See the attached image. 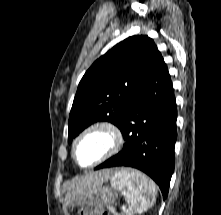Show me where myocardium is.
<instances>
[{
    "label": "myocardium",
    "instance_id": "f54148a6",
    "mask_svg": "<svg viewBox=\"0 0 221 215\" xmlns=\"http://www.w3.org/2000/svg\"><path fill=\"white\" fill-rule=\"evenodd\" d=\"M99 134L106 140V146L103 152L89 164H81L77 159V148L79 144L87 137ZM123 135L120 128L109 121H98L83 129L74 139L71 147L73 161L81 168L94 167L116 154L122 147Z\"/></svg>",
    "mask_w": 221,
    "mask_h": 215
}]
</instances>
